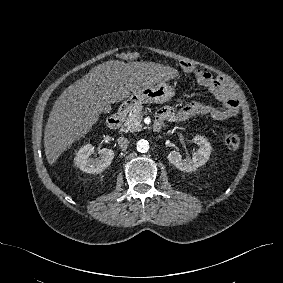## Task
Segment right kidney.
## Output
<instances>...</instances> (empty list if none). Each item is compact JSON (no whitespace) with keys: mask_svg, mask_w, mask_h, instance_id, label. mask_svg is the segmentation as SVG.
Instances as JSON below:
<instances>
[{"mask_svg":"<svg viewBox=\"0 0 283 283\" xmlns=\"http://www.w3.org/2000/svg\"><path fill=\"white\" fill-rule=\"evenodd\" d=\"M94 149L91 144L81 147L75 156V164L86 173H100L105 170L114 158V152L111 149L103 148L98 151L99 157L92 158Z\"/></svg>","mask_w":283,"mask_h":283,"instance_id":"right-kidney-1","label":"right kidney"}]
</instances>
